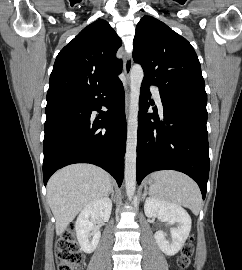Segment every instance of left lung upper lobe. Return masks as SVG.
<instances>
[{
  "mask_svg": "<svg viewBox=\"0 0 242 270\" xmlns=\"http://www.w3.org/2000/svg\"><path fill=\"white\" fill-rule=\"evenodd\" d=\"M133 45V59L142 65L143 80L158 86L171 100L207 101L200 62L185 38L158 19L144 16Z\"/></svg>",
  "mask_w": 242,
  "mask_h": 270,
  "instance_id": "obj_1",
  "label": "left lung upper lobe"
}]
</instances>
